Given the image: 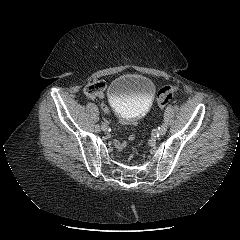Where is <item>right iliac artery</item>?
Returning <instances> with one entry per match:
<instances>
[{
    "label": "right iliac artery",
    "mask_w": 240,
    "mask_h": 240,
    "mask_svg": "<svg viewBox=\"0 0 240 240\" xmlns=\"http://www.w3.org/2000/svg\"><path fill=\"white\" fill-rule=\"evenodd\" d=\"M94 129H95V131H97V132H98V131H100V129H101V128H100V126H99V125H97V126H95V128H94Z\"/></svg>",
    "instance_id": "right-iliac-artery-1"
}]
</instances>
